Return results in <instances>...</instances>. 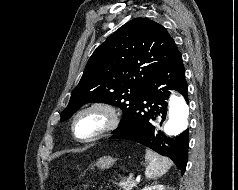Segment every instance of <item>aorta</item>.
<instances>
[{"instance_id":"762f6f07","label":"aorta","mask_w":238,"mask_h":190,"mask_svg":"<svg viewBox=\"0 0 238 190\" xmlns=\"http://www.w3.org/2000/svg\"><path fill=\"white\" fill-rule=\"evenodd\" d=\"M189 121V105L186 100L177 94H172L169 99L168 121L164 126L167 135H177L184 131Z\"/></svg>"}]
</instances>
